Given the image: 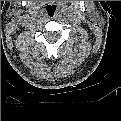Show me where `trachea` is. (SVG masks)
<instances>
[{
  "label": "trachea",
  "mask_w": 121,
  "mask_h": 121,
  "mask_svg": "<svg viewBox=\"0 0 121 121\" xmlns=\"http://www.w3.org/2000/svg\"><path fill=\"white\" fill-rule=\"evenodd\" d=\"M47 14L49 17H54L57 14V10L55 6H48L47 7Z\"/></svg>",
  "instance_id": "1"
}]
</instances>
